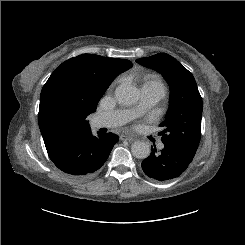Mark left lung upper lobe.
<instances>
[{
	"mask_svg": "<svg viewBox=\"0 0 245 245\" xmlns=\"http://www.w3.org/2000/svg\"><path fill=\"white\" fill-rule=\"evenodd\" d=\"M161 72L171 88L166 119L159 126L162 142L195 155L201 137L202 98L193 75L175 58L165 53L136 60Z\"/></svg>",
	"mask_w": 245,
	"mask_h": 245,
	"instance_id": "obj_1",
	"label": "left lung upper lobe"
}]
</instances>
